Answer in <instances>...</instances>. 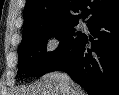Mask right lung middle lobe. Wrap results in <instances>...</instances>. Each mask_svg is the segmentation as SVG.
I'll list each match as a JSON object with an SVG mask.
<instances>
[{
    "mask_svg": "<svg viewBox=\"0 0 119 95\" xmlns=\"http://www.w3.org/2000/svg\"><path fill=\"white\" fill-rule=\"evenodd\" d=\"M77 24V22L51 23L23 34L18 48V73L42 76L49 72L84 36L76 32ZM51 37L59 39L60 44L55 51L47 53L46 44Z\"/></svg>",
    "mask_w": 119,
    "mask_h": 95,
    "instance_id": "dd1d6c3e",
    "label": "right lung middle lobe"
}]
</instances>
